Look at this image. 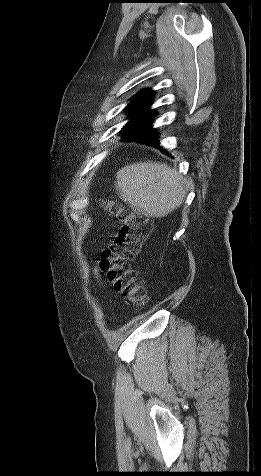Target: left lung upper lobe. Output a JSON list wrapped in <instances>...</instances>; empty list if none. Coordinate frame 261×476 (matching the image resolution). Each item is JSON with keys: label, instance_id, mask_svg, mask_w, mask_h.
I'll list each match as a JSON object with an SVG mask.
<instances>
[{"label": "left lung upper lobe", "instance_id": "5c2ea615", "mask_svg": "<svg viewBox=\"0 0 261 476\" xmlns=\"http://www.w3.org/2000/svg\"><path fill=\"white\" fill-rule=\"evenodd\" d=\"M154 93L155 91L142 90L134 97L132 102L127 105L125 110L131 112V114L128 116V118H130V122L127 123V125L132 122L146 121L153 118L156 112L148 109V107L152 103Z\"/></svg>", "mask_w": 261, "mask_h": 476}]
</instances>
